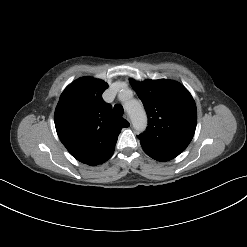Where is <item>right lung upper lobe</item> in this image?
I'll return each mask as SVG.
<instances>
[{
	"mask_svg": "<svg viewBox=\"0 0 247 247\" xmlns=\"http://www.w3.org/2000/svg\"><path fill=\"white\" fill-rule=\"evenodd\" d=\"M107 88L103 80L82 77L64 90L55 110L59 139L74 158L90 166L110 155L121 129L129 126L102 100Z\"/></svg>",
	"mask_w": 247,
	"mask_h": 247,
	"instance_id": "right-lung-upper-lobe-1",
	"label": "right lung upper lobe"
}]
</instances>
